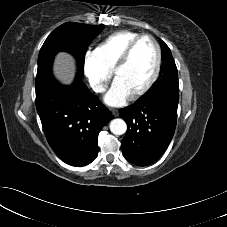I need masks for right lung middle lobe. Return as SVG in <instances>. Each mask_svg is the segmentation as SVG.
Segmentation results:
<instances>
[{
    "mask_svg": "<svg viewBox=\"0 0 227 227\" xmlns=\"http://www.w3.org/2000/svg\"><path fill=\"white\" fill-rule=\"evenodd\" d=\"M103 28L104 25L91 26L74 22H67L57 27L41 47L38 57L36 86L52 77V62L54 56L60 51L71 53L76 58L78 63L77 76L81 78L86 50Z\"/></svg>",
    "mask_w": 227,
    "mask_h": 227,
    "instance_id": "right-lung-middle-lobe-1",
    "label": "right lung middle lobe"
}]
</instances>
